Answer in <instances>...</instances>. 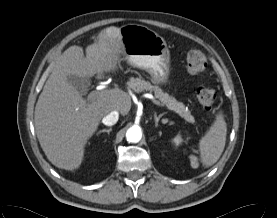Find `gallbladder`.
I'll return each mask as SVG.
<instances>
[{"instance_id":"gallbladder-1","label":"gallbladder","mask_w":277,"mask_h":218,"mask_svg":"<svg viewBox=\"0 0 277 218\" xmlns=\"http://www.w3.org/2000/svg\"><path fill=\"white\" fill-rule=\"evenodd\" d=\"M67 80L80 92H84L91 84L88 77H79L77 75H69L67 76Z\"/></svg>"}]
</instances>
